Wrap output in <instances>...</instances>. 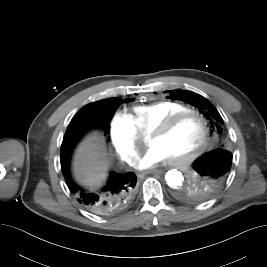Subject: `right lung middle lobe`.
Segmentation results:
<instances>
[{"mask_svg": "<svg viewBox=\"0 0 267 267\" xmlns=\"http://www.w3.org/2000/svg\"><path fill=\"white\" fill-rule=\"evenodd\" d=\"M100 103L101 104L99 105H102L106 108L107 113L112 114L118 108L121 102L118 103L116 98H111L102 100ZM105 132L107 133V130Z\"/></svg>", "mask_w": 267, "mask_h": 267, "instance_id": "obj_1", "label": "right lung middle lobe"}]
</instances>
